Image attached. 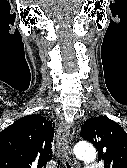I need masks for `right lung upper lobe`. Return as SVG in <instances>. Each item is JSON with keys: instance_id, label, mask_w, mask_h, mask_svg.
<instances>
[{"instance_id": "cb5924a9", "label": "right lung upper lobe", "mask_w": 127, "mask_h": 168, "mask_svg": "<svg viewBox=\"0 0 127 168\" xmlns=\"http://www.w3.org/2000/svg\"><path fill=\"white\" fill-rule=\"evenodd\" d=\"M54 122L28 115L0 132V168H45L52 158Z\"/></svg>"}]
</instances>
